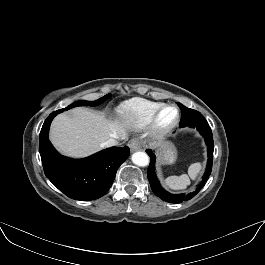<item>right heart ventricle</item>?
I'll use <instances>...</instances> for the list:
<instances>
[{"instance_id": "right-heart-ventricle-1", "label": "right heart ventricle", "mask_w": 265, "mask_h": 265, "mask_svg": "<svg viewBox=\"0 0 265 265\" xmlns=\"http://www.w3.org/2000/svg\"><path fill=\"white\" fill-rule=\"evenodd\" d=\"M163 105L161 102L147 99H132L120 108V115L135 128H142L149 124L156 111Z\"/></svg>"}]
</instances>
